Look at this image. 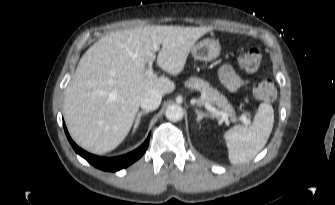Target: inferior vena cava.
<instances>
[{
    "instance_id": "obj_1",
    "label": "inferior vena cava",
    "mask_w": 335,
    "mask_h": 205,
    "mask_svg": "<svg viewBox=\"0 0 335 205\" xmlns=\"http://www.w3.org/2000/svg\"><path fill=\"white\" fill-rule=\"evenodd\" d=\"M162 100V95L154 89L145 91L140 98V106L146 110L151 111L158 108Z\"/></svg>"
}]
</instances>
